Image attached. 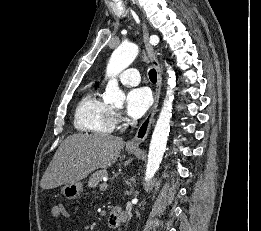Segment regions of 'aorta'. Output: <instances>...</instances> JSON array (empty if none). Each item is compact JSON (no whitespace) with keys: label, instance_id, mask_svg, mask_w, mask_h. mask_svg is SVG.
<instances>
[{"label":"aorta","instance_id":"aorta-1","mask_svg":"<svg viewBox=\"0 0 261 231\" xmlns=\"http://www.w3.org/2000/svg\"><path fill=\"white\" fill-rule=\"evenodd\" d=\"M138 55V46L133 43H122L111 55L107 65L106 75L109 77L103 100L115 106L123 105L124 92L119 88L116 76L126 69ZM168 87L159 118L156 122L150 142L145 180H150L162 162L170 132V119L172 117V104L174 100V87L176 85L175 73L167 66Z\"/></svg>","mask_w":261,"mask_h":231}]
</instances>
